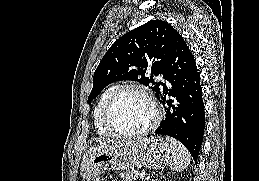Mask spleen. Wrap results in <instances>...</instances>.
Masks as SVG:
<instances>
[{
    "label": "spleen",
    "instance_id": "3e777b00",
    "mask_svg": "<svg viewBox=\"0 0 259 181\" xmlns=\"http://www.w3.org/2000/svg\"><path fill=\"white\" fill-rule=\"evenodd\" d=\"M165 139L172 151V160L170 161L171 170L176 172L185 170L191 161L188 150L182 143L172 137L166 136Z\"/></svg>",
    "mask_w": 259,
    "mask_h": 181
}]
</instances>
